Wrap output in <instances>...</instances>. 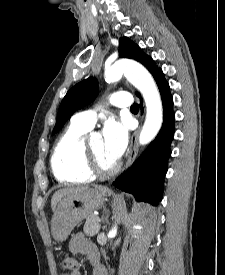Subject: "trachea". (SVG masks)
<instances>
[{
  "mask_svg": "<svg viewBox=\"0 0 225 275\" xmlns=\"http://www.w3.org/2000/svg\"><path fill=\"white\" fill-rule=\"evenodd\" d=\"M131 109H138V104H134L131 106Z\"/></svg>",
  "mask_w": 225,
  "mask_h": 275,
  "instance_id": "1",
  "label": "trachea"
}]
</instances>
